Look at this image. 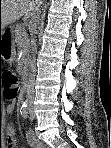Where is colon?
<instances>
[{"mask_svg": "<svg viewBox=\"0 0 111 148\" xmlns=\"http://www.w3.org/2000/svg\"><path fill=\"white\" fill-rule=\"evenodd\" d=\"M0 84L4 89V96L7 100H16L19 92L18 77L9 70L0 72Z\"/></svg>", "mask_w": 111, "mask_h": 148, "instance_id": "obj_1", "label": "colon"}]
</instances>
